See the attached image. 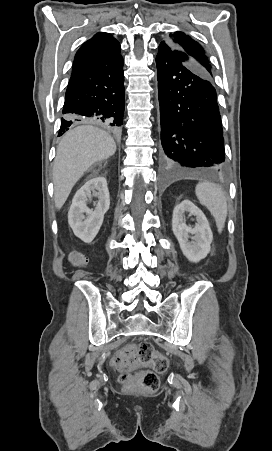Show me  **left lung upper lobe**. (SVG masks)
<instances>
[{
	"instance_id": "left-lung-upper-lobe-1",
	"label": "left lung upper lobe",
	"mask_w": 272,
	"mask_h": 451,
	"mask_svg": "<svg viewBox=\"0 0 272 451\" xmlns=\"http://www.w3.org/2000/svg\"><path fill=\"white\" fill-rule=\"evenodd\" d=\"M176 48L182 49L187 52L197 63L201 71L208 75L212 79L211 65L205 55L201 45L192 40L183 32H175L166 39Z\"/></svg>"
}]
</instances>
